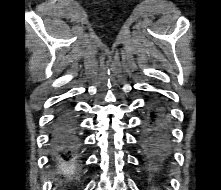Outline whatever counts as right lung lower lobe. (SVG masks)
Returning a JSON list of instances; mask_svg holds the SVG:
<instances>
[{
  "instance_id": "1",
  "label": "right lung lower lobe",
  "mask_w": 221,
  "mask_h": 190,
  "mask_svg": "<svg viewBox=\"0 0 221 190\" xmlns=\"http://www.w3.org/2000/svg\"><path fill=\"white\" fill-rule=\"evenodd\" d=\"M76 132L70 111L61 110L55 118L51 133V156L56 163L69 166L76 160L79 149Z\"/></svg>"
}]
</instances>
